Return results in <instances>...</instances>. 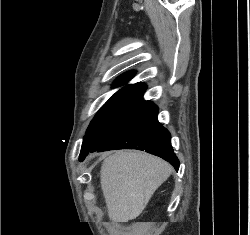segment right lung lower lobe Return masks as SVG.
Segmentation results:
<instances>
[{
	"instance_id": "right-lung-lower-lobe-1",
	"label": "right lung lower lobe",
	"mask_w": 250,
	"mask_h": 235,
	"mask_svg": "<svg viewBox=\"0 0 250 235\" xmlns=\"http://www.w3.org/2000/svg\"><path fill=\"white\" fill-rule=\"evenodd\" d=\"M144 90L130 98L84 138L80 161L89 152L138 149L168 161L176 170L179 160L173 152L169 131L158 122V107L143 99Z\"/></svg>"
}]
</instances>
